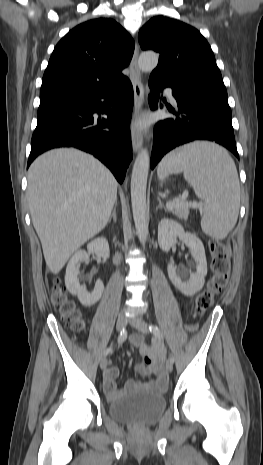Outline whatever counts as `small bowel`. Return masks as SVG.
I'll list each match as a JSON object with an SVG mask.
<instances>
[{
  "instance_id": "1",
  "label": "small bowel",
  "mask_w": 263,
  "mask_h": 465,
  "mask_svg": "<svg viewBox=\"0 0 263 465\" xmlns=\"http://www.w3.org/2000/svg\"><path fill=\"white\" fill-rule=\"evenodd\" d=\"M202 326L201 322H194L193 325H185V330H199ZM130 344L133 348L138 349L139 353L143 357V362H139L136 366V370L143 376L153 375L154 378L141 384L136 380H129L124 389L135 388L143 386L147 389L162 391L166 388L168 377L162 366V359L164 356L163 347L154 342L151 346L145 344L143 338L139 335H133L130 338ZM119 375V369L116 366L109 365L104 372V389L110 398L117 397L122 390H118L116 379Z\"/></svg>"
}]
</instances>
